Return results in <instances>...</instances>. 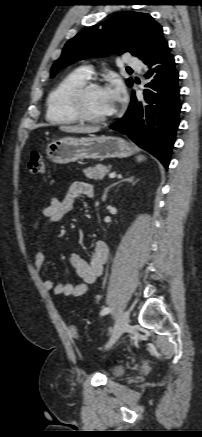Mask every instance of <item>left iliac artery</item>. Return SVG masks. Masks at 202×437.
I'll return each instance as SVG.
<instances>
[{"instance_id": "44dca946", "label": "left iliac artery", "mask_w": 202, "mask_h": 437, "mask_svg": "<svg viewBox=\"0 0 202 437\" xmlns=\"http://www.w3.org/2000/svg\"><path fill=\"white\" fill-rule=\"evenodd\" d=\"M109 312H111V308L106 307V308L102 309V311L100 312V315L104 316V315L108 314Z\"/></svg>"}]
</instances>
